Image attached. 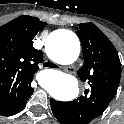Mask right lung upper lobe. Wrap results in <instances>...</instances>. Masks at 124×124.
<instances>
[{
  "label": "right lung upper lobe",
  "instance_id": "1",
  "mask_svg": "<svg viewBox=\"0 0 124 124\" xmlns=\"http://www.w3.org/2000/svg\"><path fill=\"white\" fill-rule=\"evenodd\" d=\"M45 25L22 15L0 27V110L16 108L32 95L31 82L43 60L32 40Z\"/></svg>",
  "mask_w": 124,
  "mask_h": 124
}]
</instances>
